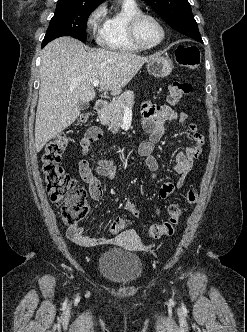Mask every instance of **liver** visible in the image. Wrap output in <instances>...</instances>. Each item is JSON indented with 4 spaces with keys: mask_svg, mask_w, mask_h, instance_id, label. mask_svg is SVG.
<instances>
[{
    "mask_svg": "<svg viewBox=\"0 0 247 332\" xmlns=\"http://www.w3.org/2000/svg\"><path fill=\"white\" fill-rule=\"evenodd\" d=\"M152 58L126 51L87 50L71 37H60L46 45L41 53L36 151L40 152L49 140L77 119L80 102L95 98L94 80L100 81L102 91L119 95Z\"/></svg>",
    "mask_w": 247,
    "mask_h": 332,
    "instance_id": "6515ba94",
    "label": "liver"
}]
</instances>
